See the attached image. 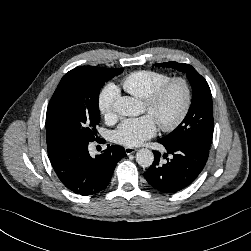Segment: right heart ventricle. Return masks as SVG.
Masks as SVG:
<instances>
[{
    "mask_svg": "<svg viewBox=\"0 0 251 251\" xmlns=\"http://www.w3.org/2000/svg\"><path fill=\"white\" fill-rule=\"evenodd\" d=\"M170 75L165 72L153 70H140L129 74L122 81V86L131 95L145 100L155 90L170 80Z\"/></svg>",
    "mask_w": 251,
    "mask_h": 251,
    "instance_id": "e07e8e85",
    "label": "right heart ventricle"
}]
</instances>
